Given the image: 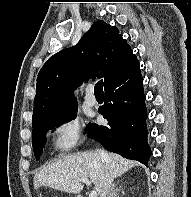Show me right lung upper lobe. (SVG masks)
Wrapping results in <instances>:
<instances>
[{
	"mask_svg": "<svg viewBox=\"0 0 191 197\" xmlns=\"http://www.w3.org/2000/svg\"><path fill=\"white\" fill-rule=\"evenodd\" d=\"M139 66L116 27L95 22L76 46L50 57L37 77L32 126L77 106L73 91L83 80L104 78V87ZM101 71L99 74L98 72Z\"/></svg>",
	"mask_w": 191,
	"mask_h": 197,
	"instance_id": "cb5924a9",
	"label": "right lung upper lobe"
}]
</instances>
